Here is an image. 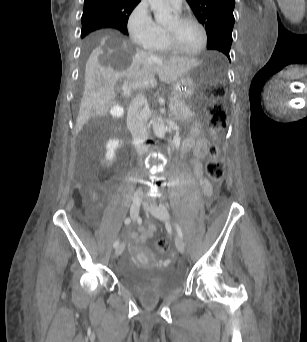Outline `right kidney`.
I'll use <instances>...</instances> for the list:
<instances>
[{
  "label": "right kidney",
  "instance_id": "right-kidney-1",
  "mask_svg": "<svg viewBox=\"0 0 307 342\" xmlns=\"http://www.w3.org/2000/svg\"><path fill=\"white\" fill-rule=\"evenodd\" d=\"M120 140H108L106 144V154H105V160H109V162H112L114 156H115V150L119 148Z\"/></svg>",
  "mask_w": 307,
  "mask_h": 342
}]
</instances>
